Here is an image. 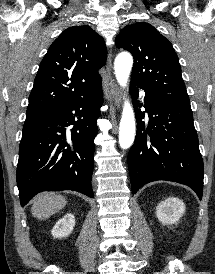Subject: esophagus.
I'll use <instances>...</instances> for the list:
<instances>
[{
  "label": "esophagus",
  "mask_w": 215,
  "mask_h": 274,
  "mask_svg": "<svg viewBox=\"0 0 215 274\" xmlns=\"http://www.w3.org/2000/svg\"><path fill=\"white\" fill-rule=\"evenodd\" d=\"M107 71L109 76V88L110 93L113 98L114 104L117 108H120L121 102H122V93L120 87L117 85V83L114 81V79L111 77V59L109 58L108 64H107Z\"/></svg>",
  "instance_id": "1"
}]
</instances>
